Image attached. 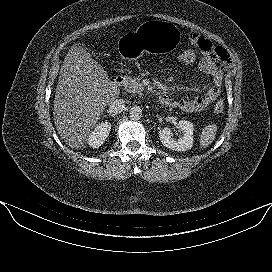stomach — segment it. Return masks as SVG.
Wrapping results in <instances>:
<instances>
[{
  "mask_svg": "<svg viewBox=\"0 0 272 272\" xmlns=\"http://www.w3.org/2000/svg\"><path fill=\"white\" fill-rule=\"evenodd\" d=\"M181 32L173 23L162 20L145 21L136 31L128 32L118 40L119 54L124 60H137L144 53L154 54L176 49Z\"/></svg>",
  "mask_w": 272,
  "mask_h": 272,
  "instance_id": "stomach-1",
  "label": "stomach"
}]
</instances>
